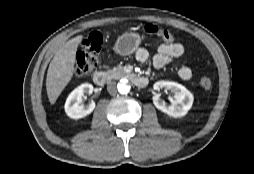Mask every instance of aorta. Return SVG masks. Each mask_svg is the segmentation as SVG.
Returning a JSON list of instances; mask_svg holds the SVG:
<instances>
[{
	"mask_svg": "<svg viewBox=\"0 0 254 174\" xmlns=\"http://www.w3.org/2000/svg\"><path fill=\"white\" fill-rule=\"evenodd\" d=\"M118 92L120 94H127L129 93L131 86L128 83V80L122 79L117 85Z\"/></svg>",
	"mask_w": 254,
	"mask_h": 174,
	"instance_id": "obj_1",
	"label": "aorta"
}]
</instances>
